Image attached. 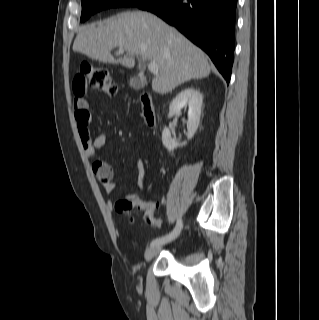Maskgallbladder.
I'll return each instance as SVG.
<instances>
[{
  "instance_id": "gallbladder-1",
  "label": "gallbladder",
  "mask_w": 319,
  "mask_h": 320,
  "mask_svg": "<svg viewBox=\"0 0 319 320\" xmlns=\"http://www.w3.org/2000/svg\"><path fill=\"white\" fill-rule=\"evenodd\" d=\"M130 86L136 90H140L142 89L145 84H146V80L145 79H141L138 76H134L130 78Z\"/></svg>"
}]
</instances>
